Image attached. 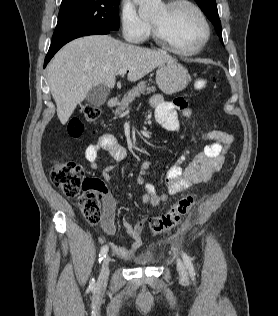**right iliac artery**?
<instances>
[{"label": "right iliac artery", "mask_w": 278, "mask_h": 316, "mask_svg": "<svg viewBox=\"0 0 278 316\" xmlns=\"http://www.w3.org/2000/svg\"><path fill=\"white\" fill-rule=\"evenodd\" d=\"M107 252H108V246H103L99 253V262H101L106 257ZM92 283H94V280H92Z\"/></svg>", "instance_id": "82829eb1"}]
</instances>
